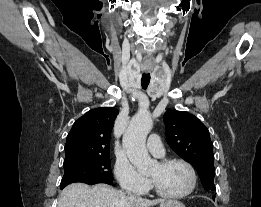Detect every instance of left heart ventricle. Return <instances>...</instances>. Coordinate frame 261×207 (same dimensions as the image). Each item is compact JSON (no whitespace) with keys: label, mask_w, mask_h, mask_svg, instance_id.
<instances>
[{"label":"left heart ventricle","mask_w":261,"mask_h":207,"mask_svg":"<svg viewBox=\"0 0 261 207\" xmlns=\"http://www.w3.org/2000/svg\"><path fill=\"white\" fill-rule=\"evenodd\" d=\"M148 177L167 193L183 192L190 181L187 169L180 164L162 166L157 163L149 170Z\"/></svg>","instance_id":"1"}]
</instances>
